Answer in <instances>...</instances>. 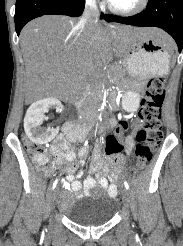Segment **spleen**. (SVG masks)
<instances>
[{
    "label": "spleen",
    "instance_id": "obj_1",
    "mask_svg": "<svg viewBox=\"0 0 183 246\" xmlns=\"http://www.w3.org/2000/svg\"><path fill=\"white\" fill-rule=\"evenodd\" d=\"M146 57H147V56H146L145 54H142V55H141V58H144V59H145ZM168 69H169V67H168ZM167 72H168V71H167Z\"/></svg>",
    "mask_w": 183,
    "mask_h": 246
}]
</instances>
